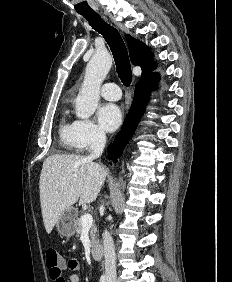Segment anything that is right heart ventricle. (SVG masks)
Listing matches in <instances>:
<instances>
[{
	"label": "right heart ventricle",
	"instance_id": "right-heart-ventricle-1",
	"mask_svg": "<svg viewBox=\"0 0 232 282\" xmlns=\"http://www.w3.org/2000/svg\"><path fill=\"white\" fill-rule=\"evenodd\" d=\"M68 109L64 107L59 123V140L62 148L66 150L77 149L74 139V122L68 119Z\"/></svg>",
	"mask_w": 232,
	"mask_h": 282
}]
</instances>
